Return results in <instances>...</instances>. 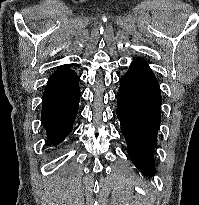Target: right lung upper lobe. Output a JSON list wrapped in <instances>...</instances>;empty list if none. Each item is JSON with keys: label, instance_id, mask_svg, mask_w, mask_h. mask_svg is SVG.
<instances>
[{"label": "right lung upper lobe", "instance_id": "right-lung-upper-lobe-1", "mask_svg": "<svg viewBox=\"0 0 199 205\" xmlns=\"http://www.w3.org/2000/svg\"><path fill=\"white\" fill-rule=\"evenodd\" d=\"M73 72V70H71L68 66L66 65H62L60 66L55 73H70Z\"/></svg>", "mask_w": 199, "mask_h": 205}]
</instances>
